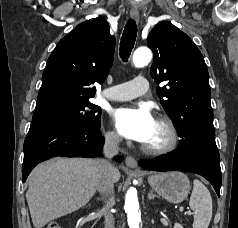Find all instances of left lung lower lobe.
Masks as SVG:
<instances>
[{"instance_id":"obj_1","label":"left lung lower lobe","mask_w":238,"mask_h":228,"mask_svg":"<svg viewBox=\"0 0 238 228\" xmlns=\"http://www.w3.org/2000/svg\"><path fill=\"white\" fill-rule=\"evenodd\" d=\"M139 164L152 171H187L206 178L220 197V156L215 139L199 143L193 151L182 154L179 149L151 160H140Z\"/></svg>"}]
</instances>
